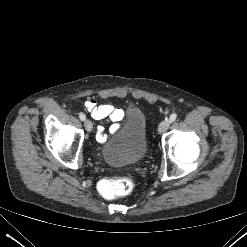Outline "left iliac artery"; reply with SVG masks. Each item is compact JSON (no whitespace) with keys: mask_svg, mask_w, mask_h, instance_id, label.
<instances>
[{"mask_svg":"<svg viewBox=\"0 0 247 247\" xmlns=\"http://www.w3.org/2000/svg\"><path fill=\"white\" fill-rule=\"evenodd\" d=\"M176 119H177V114L176 113H173V114H171V116L169 118V121L170 122H174Z\"/></svg>","mask_w":247,"mask_h":247,"instance_id":"obj_1","label":"left iliac artery"}]
</instances>
